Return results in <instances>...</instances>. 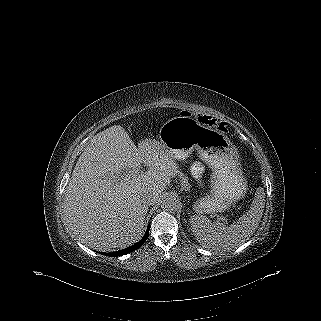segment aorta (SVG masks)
Returning <instances> with one entry per match:
<instances>
[{"label": "aorta", "instance_id": "aorta-1", "mask_svg": "<svg viewBox=\"0 0 321 321\" xmlns=\"http://www.w3.org/2000/svg\"><path fill=\"white\" fill-rule=\"evenodd\" d=\"M180 201L174 195H166L161 200V208L167 212H175L179 209Z\"/></svg>", "mask_w": 321, "mask_h": 321}]
</instances>
